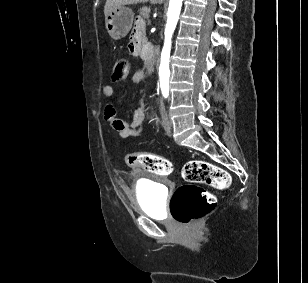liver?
<instances>
[{
	"mask_svg": "<svg viewBox=\"0 0 308 283\" xmlns=\"http://www.w3.org/2000/svg\"><path fill=\"white\" fill-rule=\"evenodd\" d=\"M149 0H106L104 6V14L105 17L115 8L122 6V5H131L137 3H146ZM151 3L162 2V0H150Z\"/></svg>",
	"mask_w": 308,
	"mask_h": 283,
	"instance_id": "6515ba94",
	"label": "liver"
}]
</instances>
